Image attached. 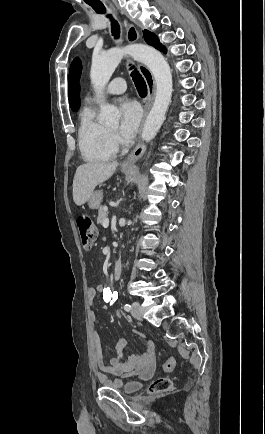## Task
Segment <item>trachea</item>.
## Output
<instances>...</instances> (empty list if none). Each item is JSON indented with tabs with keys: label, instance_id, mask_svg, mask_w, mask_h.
I'll return each instance as SVG.
<instances>
[{
	"label": "trachea",
	"instance_id": "1",
	"mask_svg": "<svg viewBox=\"0 0 265 434\" xmlns=\"http://www.w3.org/2000/svg\"><path fill=\"white\" fill-rule=\"evenodd\" d=\"M88 5H90L97 13L106 14V9H105V7H104V5L102 3H89ZM106 16L111 21L112 35L114 36V38H119V36H120V26H119L118 22L115 21L110 14H106ZM130 70H132L131 76H132V78L134 80V83H135L137 91L139 92V94L141 96L146 95V93H147V86H146V83H145L144 79L139 74V72L137 71V69L134 66H132L131 64H130Z\"/></svg>",
	"mask_w": 265,
	"mask_h": 434
}]
</instances>
